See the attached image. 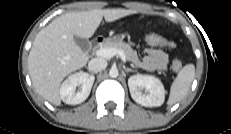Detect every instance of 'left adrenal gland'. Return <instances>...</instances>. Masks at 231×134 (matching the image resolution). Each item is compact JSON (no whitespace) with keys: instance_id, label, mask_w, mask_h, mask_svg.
Segmentation results:
<instances>
[{"instance_id":"left-adrenal-gland-1","label":"left adrenal gland","mask_w":231,"mask_h":134,"mask_svg":"<svg viewBox=\"0 0 231 134\" xmlns=\"http://www.w3.org/2000/svg\"><path fill=\"white\" fill-rule=\"evenodd\" d=\"M124 70L126 71V72H134L135 70H133V69H131V68H126V67H124Z\"/></svg>"}]
</instances>
